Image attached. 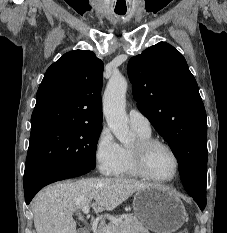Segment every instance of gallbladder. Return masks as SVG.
Listing matches in <instances>:
<instances>
[{
	"label": "gallbladder",
	"mask_w": 227,
	"mask_h": 233,
	"mask_svg": "<svg viewBox=\"0 0 227 233\" xmlns=\"http://www.w3.org/2000/svg\"><path fill=\"white\" fill-rule=\"evenodd\" d=\"M77 233H85V231L83 229H78Z\"/></svg>",
	"instance_id": "obj_1"
}]
</instances>
